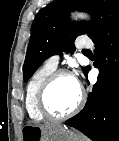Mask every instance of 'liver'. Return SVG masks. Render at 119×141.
<instances>
[{"label": "liver", "instance_id": "obj_1", "mask_svg": "<svg viewBox=\"0 0 119 141\" xmlns=\"http://www.w3.org/2000/svg\"><path fill=\"white\" fill-rule=\"evenodd\" d=\"M42 127H60L59 125H53V124H44L41 125Z\"/></svg>", "mask_w": 119, "mask_h": 141}]
</instances>
